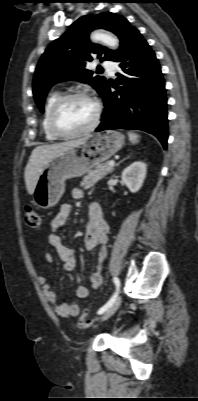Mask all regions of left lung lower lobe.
<instances>
[{
	"label": "left lung lower lobe",
	"instance_id": "left-lung-lower-lobe-1",
	"mask_svg": "<svg viewBox=\"0 0 198 401\" xmlns=\"http://www.w3.org/2000/svg\"><path fill=\"white\" fill-rule=\"evenodd\" d=\"M115 62H121L124 73L117 74V84L106 83L101 95L105 108L95 131L143 130L155 135L166 149L165 83L155 53L137 29L131 33ZM110 85L115 92H111Z\"/></svg>",
	"mask_w": 198,
	"mask_h": 401
}]
</instances>
